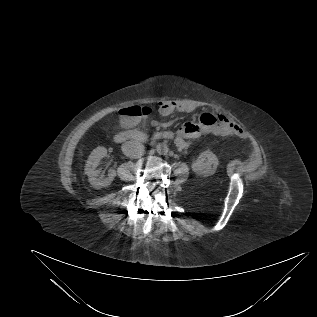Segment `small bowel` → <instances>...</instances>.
Wrapping results in <instances>:
<instances>
[{"instance_id": "1", "label": "small bowel", "mask_w": 317, "mask_h": 317, "mask_svg": "<svg viewBox=\"0 0 317 317\" xmlns=\"http://www.w3.org/2000/svg\"><path fill=\"white\" fill-rule=\"evenodd\" d=\"M196 107L193 103L181 100L163 101L159 103V112L163 116H168L174 112L191 113L195 111ZM210 114L211 113H203ZM202 114V115H203ZM201 120V119H200ZM136 123L133 119L126 120L127 125H134ZM212 133L218 135H232L234 133H242L240 127L231 121L227 116L220 115L215 124L209 125L202 121L200 123L188 122L181 126L175 136V142L181 149H185L188 145L187 140L190 138H197L203 134Z\"/></svg>"}]
</instances>
